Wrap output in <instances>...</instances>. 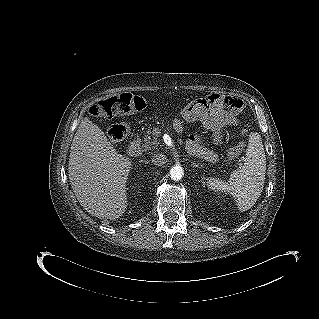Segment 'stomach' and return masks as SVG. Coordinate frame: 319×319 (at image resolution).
<instances>
[{"label": "stomach", "instance_id": "stomach-1", "mask_svg": "<svg viewBox=\"0 0 319 319\" xmlns=\"http://www.w3.org/2000/svg\"><path fill=\"white\" fill-rule=\"evenodd\" d=\"M204 107L196 102H191L182 110V116L187 122H197L203 116Z\"/></svg>", "mask_w": 319, "mask_h": 319}]
</instances>
